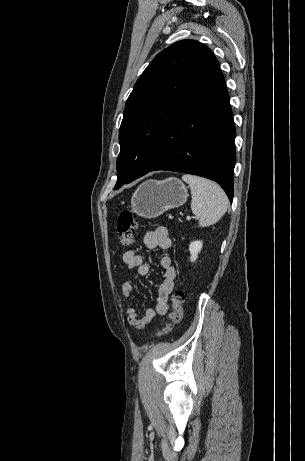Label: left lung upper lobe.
I'll return each mask as SVG.
<instances>
[{
  "label": "left lung upper lobe",
  "mask_w": 305,
  "mask_h": 461,
  "mask_svg": "<svg viewBox=\"0 0 305 461\" xmlns=\"http://www.w3.org/2000/svg\"><path fill=\"white\" fill-rule=\"evenodd\" d=\"M216 61L208 47L189 39L172 44L152 60L126 101L116 163L119 182L130 183L148 172L167 123Z\"/></svg>",
  "instance_id": "left-lung-upper-lobe-1"
}]
</instances>
